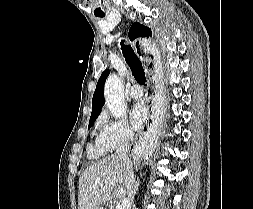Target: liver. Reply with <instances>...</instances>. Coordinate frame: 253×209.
I'll list each match as a JSON object with an SVG mask.
<instances>
[{
	"label": "liver",
	"mask_w": 253,
	"mask_h": 209,
	"mask_svg": "<svg viewBox=\"0 0 253 209\" xmlns=\"http://www.w3.org/2000/svg\"><path fill=\"white\" fill-rule=\"evenodd\" d=\"M129 192L127 164L111 155L93 163L80 176L78 209H99L108 205L115 195L129 196Z\"/></svg>",
	"instance_id": "liver-1"
}]
</instances>
